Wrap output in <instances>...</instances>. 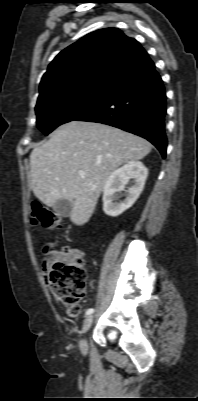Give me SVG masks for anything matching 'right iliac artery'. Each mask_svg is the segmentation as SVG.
Instances as JSON below:
<instances>
[{
    "instance_id": "1",
    "label": "right iliac artery",
    "mask_w": 198,
    "mask_h": 401,
    "mask_svg": "<svg viewBox=\"0 0 198 401\" xmlns=\"http://www.w3.org/2000/svg\"><path fill=\"white\" fill-rule=\"evenodd\" d=\"M94 312V309L93 308H89L87 311H86V315H90V314H92Z\"/></svg>"
}]
</instances>
